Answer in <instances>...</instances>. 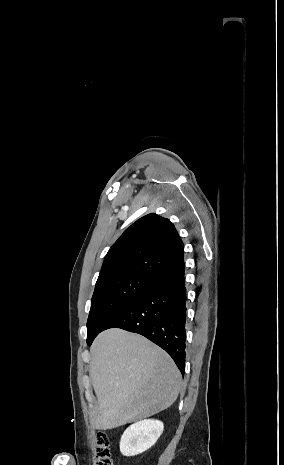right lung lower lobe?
I'll list each match as a JSON object with an SVG mask.
<instances>
[{
  "instance_id": "obj_1",
  "label": "right lung lower lobe",
  "mask_w": 284,
  "mask_h": 465,
  "mask_svg": "<svg viewBox=\"0 0 284 465\" xmlns=\"http://www.w3.org/2000/svg\"><path fill=\"white\" fill-rule=\"evenodd\" d=\"M184 267L181 262L154 278L102 329L116 327L145 336L172 357L182 374L185 371L187 300Z\"/></svg>"
}]
</instances>
